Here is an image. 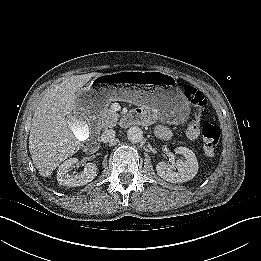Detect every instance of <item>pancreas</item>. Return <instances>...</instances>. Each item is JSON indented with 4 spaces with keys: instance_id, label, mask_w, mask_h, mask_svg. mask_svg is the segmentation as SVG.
<instances>
[{
    "instance_id": "pancreas-1",
    "label": "pancreas",
    "mask_w": 261,
    "mask_h": 261,
    "mask_svg": "<svg viewBox=\"0 0 261 261\" xmlns=\"http://www.w3.org/2000/svg\"><path fill=\"white\" fill-rule=\"evenodd\" d=\"M118 121V114L111 109H104L98 120L97 128L101 130L102 128L108 129L113 128Z\"/></svg>"
}]
</instances>
